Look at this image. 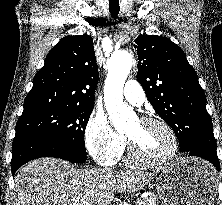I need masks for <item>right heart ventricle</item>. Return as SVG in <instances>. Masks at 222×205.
<instances>
[{
	"label": "right heart ventricle",
	"instance_id": "obj_1",
	"mask_svg": "<svg viewBox=\"0 0 222 205\" xmlns=\"http://www.w3.org/2000/svg\"><path fill=\"white\" fill-rule=\"evenodd\" d=\"M123 153H124V151L122 152V154L120 155V157H119L115 162L119 161V160L123 157Z\"/></svg>",
	"mask_w": 222,
	"mask_h": 205
}]
</instances>
